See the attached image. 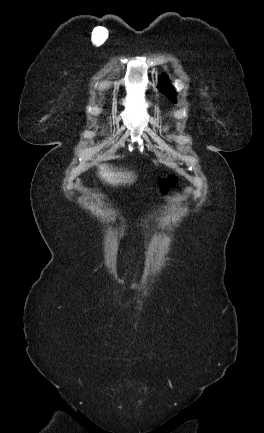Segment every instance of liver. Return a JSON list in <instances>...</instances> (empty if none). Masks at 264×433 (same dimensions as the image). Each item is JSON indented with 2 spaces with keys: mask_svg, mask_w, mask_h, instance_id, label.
<instances>
[{
  "mask_svg": "<svg viewBox=\"0 0 264 433\" xmlns=\"http://www.w3.org/2000/svg\"><path fill=\"white\" fill-rule=\"evenodd\" d=\"M98 175L102 180L112 185L131 184L136 179L132 172L115 171L106 164L99 166Z\"/></svg>",
  "mask_w": 264,
  "mask_h": 433,
  "instance_id": "liver-1",
  "label": "liver"
}]
</instances>
